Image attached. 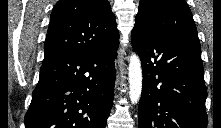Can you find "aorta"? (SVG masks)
<instances>
[{
    "mask_svg": "<svg viewBox=\"0 0 221 128\" xmlns=\"http://www.w3.org/2000/svg\"><path fill=\"white\" fill-rule=\"evenodd\" d=\"M129 76V98L132 104H136L142 92V68L140 58L136 54H132L128 68Z\"/></svg>",
    "mask_w": 221,
    "mask_h": 128,
    "instance_id": "obj_1",
    "label": "aorta"
}]
</instances>
